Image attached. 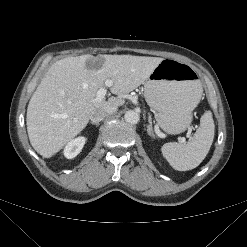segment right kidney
I'll list each match as a JSON object with an SVG mask.
<instances>
[{
	"mask_svg": "<svg viewBox=\"0 0 247 247\" xmlns=\"http://www.w3.org/2000/svg\"><path fill=\"white\" fill-rule=\"evenodd\" d=\"M85 141V137H78L71 140L64 149V156L68 159L76 157L81 152Z\"/></svg>",
	"mask_w": 247,
	"mask_h": 247,
	"instance_id": "right-kidney-1",
	"label": "right kidney"
}]
</instances>
